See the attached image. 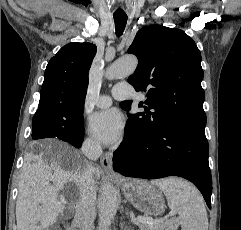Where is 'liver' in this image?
<instances>
[{
  "instance_id": "6515ba94",
  "label": "liver",
  "mask_w": 241,
  "mask_h": 230,
  "mask_svg": "<svg viewBox=\"0 0 241 230\" xmlns=\"http://www.w3.org/2000/svg\"><path fill=\"white\" fill-rule=\"evenodd\" d=\"M41 147L38 155L25 156L16 201L17 230H43L52 225L66 209L67 202L56 198L66 183L75 184L74 199L79 195V179L85 169L79 153L62 142ZM92 171L100 177L97 167Z\"/></svg>"
}]
</instances>
